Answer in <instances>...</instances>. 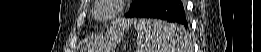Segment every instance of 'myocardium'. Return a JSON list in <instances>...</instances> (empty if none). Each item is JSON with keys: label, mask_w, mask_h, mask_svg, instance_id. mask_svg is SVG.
<instances>
[{"label": "myocardium", "mask_w": 261, "mask_h": 52, "mask_svg": "<svg viewBox=\"0 0 261 52\" xmlns=\"http://www.w3.org/2000/svg\"><path fill=\"white\" fill-rule=\"evenodd\" d=\"M126 2V0H99L93 11V15L96 20L101 22L111 21L123 12ZM104 8H109L110 13L107 16H99V11Z\"/></svg>", "instance_id": "f54148a6"}]
</instances>
